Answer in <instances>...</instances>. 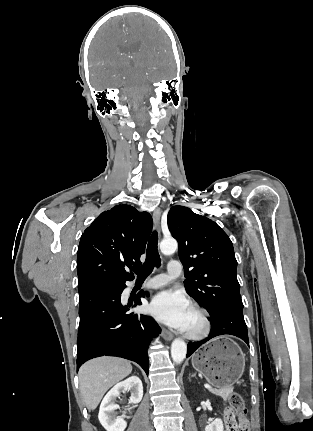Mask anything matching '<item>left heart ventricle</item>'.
Here are the masks:
<instances>
[{
	"mask_svg": "<svg viewBox=\"0 0 313 431\" xmlns=\"http://www.w3.org/2000/svg\"><path fill=\"white\" fill-rule=\"evenodd\" d=\"M201 326V321L199 316L191 309L187 331H195L198 330Z\"/></svg>",
	"mask_w": 313,
	"mask_h": 431,
	"instance_id": "left-heart-ventricle-1",
	"label": "left heart ventricle"
}]
</instances>
